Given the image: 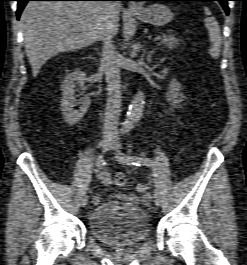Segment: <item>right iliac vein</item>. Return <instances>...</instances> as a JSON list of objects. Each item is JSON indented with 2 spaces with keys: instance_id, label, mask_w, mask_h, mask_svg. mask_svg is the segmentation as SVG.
<instances>
[{
  "instance_id": "obj_1",
  "label": "right iliac vein",
  "mask_w": 247,
  "mask_h": 265,
  "mask_svg": "<svg viewBox=\"0 0 247 265\" xmlns=\"http://www.w3.org/2000/svg\"><path fill=\"white\" fill-rule=\"evenodd\" d=\"M101 144H102L103 151L106 152V151L110 150L113 147L114 140L112 138H110V137H105L102 140ZM87 204H88V197L84 196L82 198L81 205H82V207H85Z\"/></svg>"
}]
</instances>
